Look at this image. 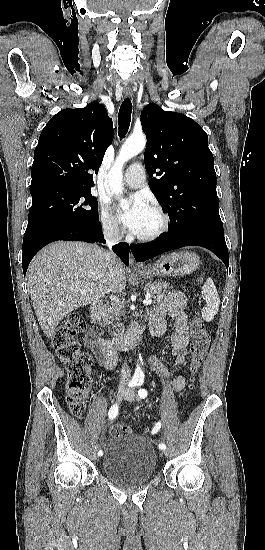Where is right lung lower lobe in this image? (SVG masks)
<instances>
[{
	"mask_svg": "<svg viewBox=\"0 0 265 550\" xmlns=\"http://www.w3.org/2000/svg\"><path fill=\"white\" fill-rule=\"evenodd\" d=\"M85 241L88 243H105L100 222H65L32 231L24 235L22 266L24 276L31 259L45 245L57 241ZM113 251L124 264H129V244L121 242Z\"/></svg>",
	"mask_w": 265,
	"mask_h": 550,
	"instance_id": "98d812e1",
	"label": "right lung lower lobe"
}]
</instances>
